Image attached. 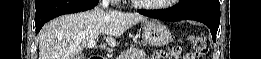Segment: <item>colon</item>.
Here are the masks:
<instances>
[{
  "mask_svg": "<svg viewBox=\"0 0 261 59\" xmlns=\"http://www.w3.org/2000/svg\"><path fill=\"white\" fill-rule=\"evenodd\" d=\"M191 43L193 45V48L198 58L202 57L207 53L206 42L201 37H192ZM167 54L169 57L174 59L184 58V56L182 57V49L179 46L172 47L169 53ZM191 58H195V56L194 57L192 56Z\"/></svg>",
  "mask_w": 261,
  "mask_h": 59,
  "instance_id": "1",
  "label": "colon"
}]
</instances>
